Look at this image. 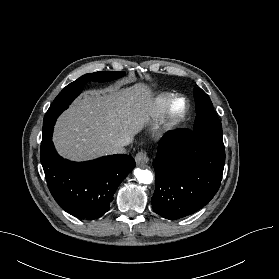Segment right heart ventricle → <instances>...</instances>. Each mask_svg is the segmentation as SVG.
<instances>
[{"label":"right heart ventricle","instance_id":"1","mask_svg":"<svg viewBox=\"0 0 279 279\" xmlns=\"http://www.w3.org/2000/svg\"><path fill=\"white\" fill-rule=\"evenodd\" d=\"M174 97L172 93H161L157 95L151 105V115L154 118L160 117L165 110L166 105Z\"/></svg>","mask_w":279,"mask_h":279}]
</instances>
